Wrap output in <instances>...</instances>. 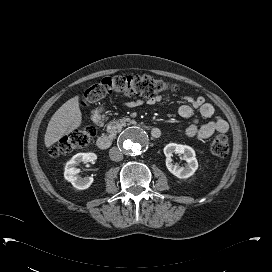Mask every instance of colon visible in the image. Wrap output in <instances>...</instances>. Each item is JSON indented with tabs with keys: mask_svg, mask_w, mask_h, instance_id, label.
Listing matches in <instances>:
<instances>
[{
	"mask_svg": "<svg viewBox=\"0 0 272 272\" xmlns=\"http://www.w3.org/2000/svg\"><path fill=\"white\" fill-rule=\"evenodd\" d=\"M176 90L175 84L149 75L109 76L93 83L88 87L84 96V103H96L113 92H123L127 95H137L152 98L159 94ZM95 129L82 127L67 136L62 137L51 149L53 156L72 153L76 149L85 147L95 135ZM211 152L218 157H224L229 152V139L225 134H217L210 145Z\"/></svg>",
	"mask_w": 272,
	"mask_h": 272,
	"instance_id": "obj_1",
	"label": "colon"
}]
</instances>
